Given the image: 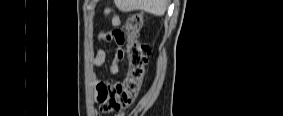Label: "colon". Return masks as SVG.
I'll return each mask as SVG.
<instances>
[{"label": "colon", "instance_id": "colon-1", "mask_svg": "<svg viewBox=\"0 0 283 116\" xmlns=\"http://www.w3.org/2000/svg\"><path fill=\"white\" fill-rule=\"evenodd\" d=\"M143 22V13L135 11L127 17L123 29L116 34L119 42L124 44L128 72L120 82L97 86V101L101 113H116L128 108L141 91L147 64L146 47L138 40Z\"/></svg>", "mask_w": 283, "mask_h": 116}]
</instances>
